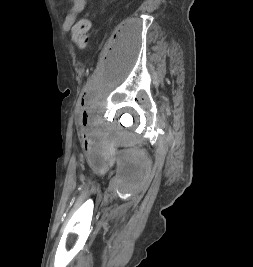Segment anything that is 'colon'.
<instances>
[{
    "label": "colon",
    "mask_w": 253,
    "mask_h": 267,
    "mask_svg": "<svg viewBox=\"0 0 253 267\" xmlns=\"http://www.w3.org/2000/svg\"><path fill=\"white\" fill-rule=\"evenodd\" d=\"M90 22L87 19L77 21L72 27V39L75 45L81 49L85 48L89 41Z\"/></svg>",
    "instance_id": "colon-1"
}]
</instances>
